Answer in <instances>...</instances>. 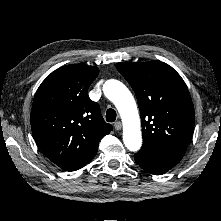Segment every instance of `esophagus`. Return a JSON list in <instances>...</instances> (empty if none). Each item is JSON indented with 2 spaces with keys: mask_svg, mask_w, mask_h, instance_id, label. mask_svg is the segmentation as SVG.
I'll return each instance as SVG.
<instances>
[{
  "mask_svg": "<svg viewBox=\"0 0 221 221\" xmlns=\"http://www.w3.org/2000/svg\"><path fill=\"white\" fill-rule=\"evenodd\" d=\"M114 128L117 130V131H120L122 129V123L120 121H117L114 123Z\"/></svg>",
  "mask_w": 221,
  "mask_h": 221,
  "instance_id": "1",
  "label": "esophagus"
}]
</instances>
